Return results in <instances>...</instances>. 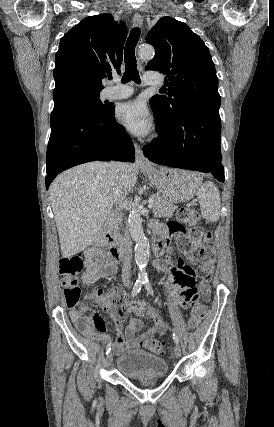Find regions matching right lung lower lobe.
Masks as SVG:
<instances>
[{
	"label": "right lung lower lobe",
	"mask_w": 274,
	"mask_h": 427,
	"mask_svg": "<svg viewBox=\"0 0 274 427\" xmlns=\"http://www.w3.org/2000/svg\"><path fill=\"white\" fill-rule=\"evenodd\" d=\"M135 161L134 146L114 118L105 113L78 111L51 123L46 154V189L60 172L90 161Z\"/></svg>",
	"instance_id": "98d812e1"
}]
</instances>
